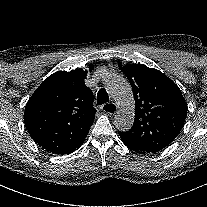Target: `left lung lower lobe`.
<instances>
[{
    "instance_id": "left-lung-lower-lobe-1",
    "label": "left lung lower lobe",
    "mask_w": 207,
    "mask_h": 207,
    "mask_svg": "<svg viewBox=\"0 0 207 207\" xmlns=\"http://www.w3.org/2000/svg\"><path fill=\"white\" fill-rule=\"evenodd\" d=\"M122 139V138H121ZM122 141H123V143L126 145V142H125V140H123L122 139ZM138 153H146V152H141V151H137Z\"/></svg>"
}]
</instances>
